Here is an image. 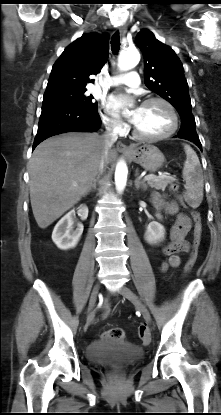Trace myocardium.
I'll return each mask as SVG.
<instances>
[{"mask_svg": "<svg viewBox=\"0 0 221 415\" xmlns=\"http://www.w3.org/2000/svg\"><path fill=\"white\" fill-rule=\"evenodd\" d=\"M153 102H159L162 103L163 105H165L167 107V109L170 112L171 118H172V126L171 128L160 135H146L141 133L137 127L135 125H133V134L136 138L141 139V140H146V141H160V140H164L167 139L169 137H171L172 135H174L179 127V116L177 113L176 108L173 106V104L171 102H169L167 99L162 98V97H149L147 99H145L141 105H146L149 103H153Z\"/></svg>", "mask_w": 221, "mask_h": 415, "instance_id": "1", "label": "myocardium"}]
</instances>
